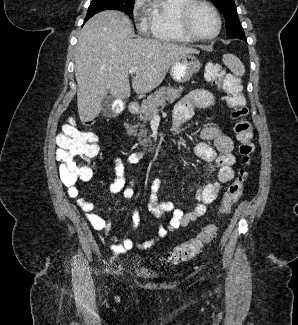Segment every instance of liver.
<instances>
[{"instance_id":"liver-1","label":"liver","mask_w":298,"mask_h":325,"mask_svg":"<svg viewBox=\"0 0 298 325\" xmlns=\"http://www.w3.org/2000/svg\"><path fill=\"white\" fill-rule=\"evenodd\" d=\"M131 22L120 10H102L84 24L75 52L77 108L81 122L98 116L108 92L128 98L130 68H137L131 84L137 94L151 92L163 82L171 64L197 48L156 38H130Z\"/></svg>"}]
</instances>
